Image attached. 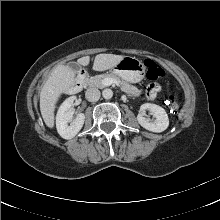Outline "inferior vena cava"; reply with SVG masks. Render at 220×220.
Instances as JSON below:
<instances>
[{
	"label": "inferior vena cava",
	"mask_w": 220,
	"mask_h": 220,
	"mask_svg": "<svg viewBox=\"0 0 220 220\" xmlns=\"http://www.w3.org/2000/svg\"><path fill=\"white\" fill-rule=\"evenodd\" d=\"M86 99L90 102H96L100 98V91L97 88H89L85 93Z\"/></svg>",
	"instance_id": "602c4592"
}]
</instances>
